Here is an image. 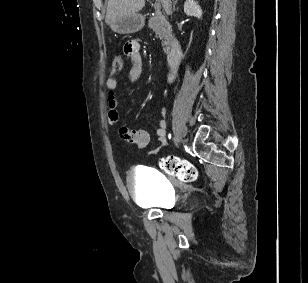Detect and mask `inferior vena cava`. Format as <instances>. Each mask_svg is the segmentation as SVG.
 Returning a JSON list of instances; mask_svg holds the SVG:
<instances>
[{
	"label": "inferior vena cava",
	"mask_w": 308,
	"mask_h": 283,
	"mask_svg": "<svg viewBox=\"0 0 308 283\" xmlns=\"http://www.w3.org/2000/svg\"><path fill=\"white\" fill-rule=\"evenodd\" d=\"M168 11H169V13H172V11H171V5H169Z\"/></svg>",
	"instance_id": "602c4592"
}]
</instances>
